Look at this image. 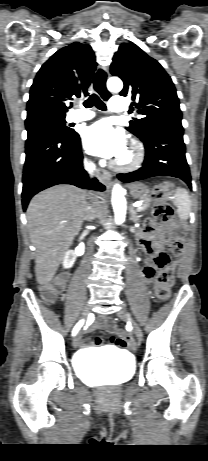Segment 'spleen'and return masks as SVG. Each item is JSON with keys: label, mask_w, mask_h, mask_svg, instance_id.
<instances>
[{"label": "spleen", "mask_w": 208, "mask_h": 461, "mask_svg": "<svg viewBox=\"0 0 208 461\" xmlns=\"http://www.w3.org/2000/svg\"><path fill=\"white\" fill-rule=\"evenodd\" d=\"M174 205L181 220H187L191 210V200L188 192L183 188H177L174 195Z\"/></svg>", "instance_id": "3e777b00"}]
</instances>
